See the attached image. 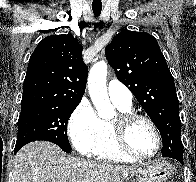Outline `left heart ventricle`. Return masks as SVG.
<instances>
[{"label": "left heart ventricle", "instance_id": "1", "mask_svg": "<svg viewBox=\"0 0 196 182\" xmlns=\"http://www.w3.org/2000/svg\"><path fill=\"white\" fill-rule=\"evenodd\" d=\"M127 141L131 149L141 155H149L156 148L154 131L143 120H138L129 127Z\"/></svg>", "mask_w": 196, "mask_h": 182}]
</instances>
